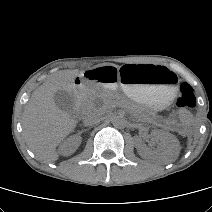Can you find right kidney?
<instances>
[{"label": "right kidney", "mask_w": 212, "mask_h": 212, "mask_svg": "<svg viewBox=\"0 0 212 212\" xmlns=\"http://www.w3.org/2000/svg\"><path fill=\"white\" fill-rule=\"evenodd\" d=\"M81 141L82 137L80 136V134L70 136L60 145L59 153L64 156L73 154L81 144Z\"/></svg>", "instance_id": "right-kidney-1"}]
</instances>
